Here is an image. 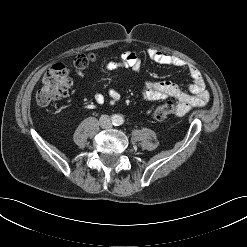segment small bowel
Masks as SVG:
<instances>
[{
  "mask_svg": "<svg viewBox=\"0 0 247 247\" xmlns=\"http://www.w3.org/2000/svg\"><path fill=\"white\" fill-rule=\"evenodd\" d=\"M147 57L159 64L186 69L192 79L188 91L182 90L177 84L168 81H145L141 87V95L145 100H165L169 97L175 98L179 105L177 115H185L193 107H201L208 103L210 95L206 89V81L203 74L193 65L187 64L181 58L164 51L150 48ZM131 68L138 73L141 68V58L133 52H124L118 61L106 64V69ZM108 96L112 101H119L121 94L116 89H109ZM94 101L102 104L105 95L95 93Z\"/></svg>",
  "mask_w": 247,
  "mask_h": 247,
  "instance_id": "1",
  "label": "small bowel"
}]
</instances>
